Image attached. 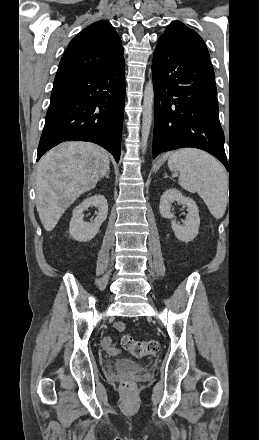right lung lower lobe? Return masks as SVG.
I'll list each match as a JSON object with an SVG mask.
<instances>
[{
  "instance_id": "98d812e1",
  "label": "right lung lower lobe",
  "mask_w": 259,
  "mask_h": 440,
  "mask_svg": "<svg viewBox=\"0 0 259 440\" xmlns=\"http://www.w3.org/2000/svg\"><path fill=\"white\" fill-rule=\"evenodd\" d=\"M124 99V59L89 74L55 79L37 161L61 142L88 141L107 149L118 162Z\"/></svg>"
}]
</instances>
